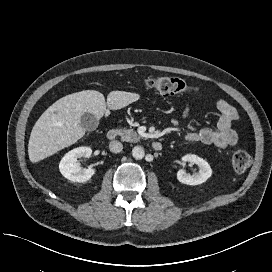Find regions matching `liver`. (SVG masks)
Instances as JSON below:
<instances>
[{
    "label": "liver",
    "instance_id": "liver-1",
    "mask_svg": "<svg viewBox=\"0 0 272 272\" xmlns=\"http://www.w3.org/2000/svg\"><path fill=\"white\" fill-rule=\"evenodd\" d=\"M139 99L137 93L112 91L105 101L104 95L96 90H84L60 98L40 116L31 131L30 161L39 162L81 139L85 135L80 124L84 113L100 119L109 115L108 109L118 110Z\"/></svg>",
    "mask_w": 272,
    "mask_h": 272
}]
</instances>
